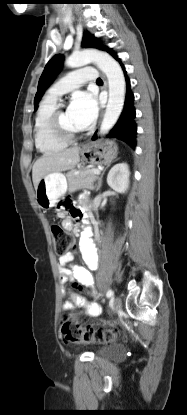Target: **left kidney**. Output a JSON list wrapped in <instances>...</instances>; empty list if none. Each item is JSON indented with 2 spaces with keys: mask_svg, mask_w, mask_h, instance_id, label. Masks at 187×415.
Listing matches in <instances>:
<instances>
[{
  "mask_svg": "<svg viewBox=\"0 0 187 415\" xmlns=\"http://www.w3.org/2000/svg\"><path fill=\"white\" fill-rule=\"evenodd\" d=\"M129 167L127 163L114 165L108 175L107 184L117 193H125L129 187Z\"/></svg>",
  "mask_w": 187,
  "mask_h": 415,
  "instance_id": "1",
  "label": "left kidney"
}]
</instances>
